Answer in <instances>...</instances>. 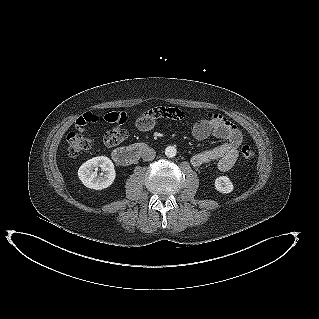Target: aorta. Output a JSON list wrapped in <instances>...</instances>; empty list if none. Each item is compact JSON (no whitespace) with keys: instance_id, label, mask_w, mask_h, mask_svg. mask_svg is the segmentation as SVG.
I'll return each mask as SVG.
<instances>
[{"instance_id":"1","label":"aorta","mask_w":319,"mask_h":319,"mask_svg":"<svg viewBox=\"0 0 319 319\" xmlns=\"http://www.w3.org/2000/svg\"><path fill=\"white\" fill-rule=\"evenodd\" d=\"M176 153H177V150L174 146H168L166 147L165 149V155L168 157V158H173L176 156Z\"/></svg>"}]
</instances>
